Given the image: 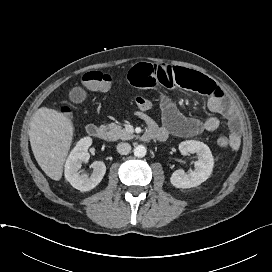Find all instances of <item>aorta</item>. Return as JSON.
<instances>
[{"instance_id":"1","label":"aorta","mask_w":272,"mask_h":272,"mask_svg":"<svg viewBox=\"0 0 272 272\" xmlns=\"http://www.w3.org/2000/svg\"><path fill=\"white\" fill-rule=\"evenodd\" d=\"M146 148L143 145H138L134 148V155L138 158H142L146 155Z\"/></svg>"}]
</instances>
